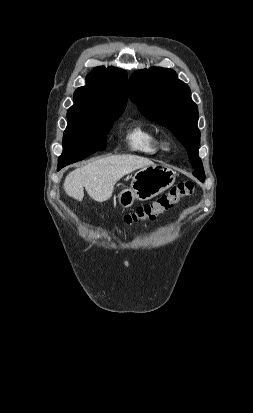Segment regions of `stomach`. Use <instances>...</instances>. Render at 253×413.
<instances>
[{
    "label": "stomach",
    "instance_id": "obj_1",
    "mask_svg": "<svg viewBox=\"0 0 253 413\" xmlns=\"http://www.w3.org/2000/svg\"><path fill=\"white\" fill-rule=\"evenodd\" d=\"M174 182L175 172L165 166L142 168L133 176L130 187L120 192L119 203L123 208H128L136 199L150 200L170 188Z\"/></svg>",
    "mask_w": 253,
    "mask_h": 413
}]
</instances>
